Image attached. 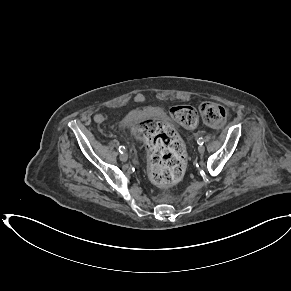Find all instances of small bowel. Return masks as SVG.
Returning a JSON list of instances; mask_svg holds the SVG:
<instances>
[{"mask_svg": "<svg viewBox=\"0 0 291 291\" xmlns=\"http://www.w3.org/2000/svg\"><path fill=\"white\" fill-rule=\"evenodd\" d=\"M94 119L97 123H102L106 120V115L103 113H98L95 115Z\"/></svg>", "mask_w": 291, "mask_h": 291, "instance_id": "1", "label": "small bowel"}]
</instances>
